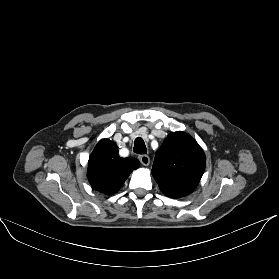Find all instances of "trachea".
Segmentation results:
<instances>
[{
  "instance_id": "1",
  "label": "trachea",
  "mask_w": 279,
  "mask_h": 279,
  "mask_svg": "<svg viewBox=\"0 0 279 279\" xmlns=\"http://www.w3.org/2000/svg\"><path fill=\"white\" fill-rule=\"evenodd\" d=\"M133 151L137 154H146L147 148L144 140L141 137H137L134 142Z\"/></svg>"
}]
</instances>
